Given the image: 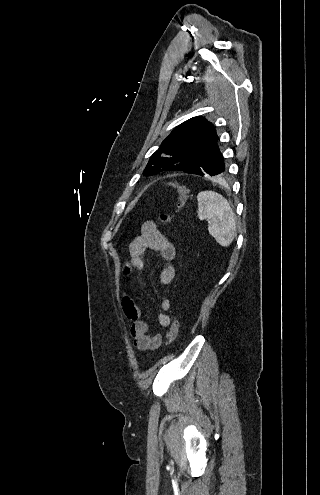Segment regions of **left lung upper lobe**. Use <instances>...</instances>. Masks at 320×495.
Segmentation results:
<instances>
[{
  "instance_id": "obj_1",
  "label": "left lung upper lobe",
  "mask_w": 320,
  "mask_h": 495,
  "mask_svg": "<svg viewBox=\"0 0 320 495\" xmlns=\"http://www.w3.org/2000/svg\"><path fill=\"white\" fill-rule=\"evenodd\" d=\"M218 144L212 123L201 116L193 117L179 126L162 142L150 157L144 175L166 171H185L197 164Z\"/></svg>"
}]
</instances>
